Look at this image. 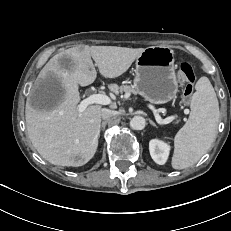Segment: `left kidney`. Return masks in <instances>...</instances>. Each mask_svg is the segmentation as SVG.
I'll return each instance as SVG.
<instances>
[{"label":"left kidney","mask_w":231,"mask_h":231,"mask_svg":"<svg viewBox=\"0 0 231 231\" xmlns=\"http://www.w3.org/2000/svg\"><path fill=\"white\" fill-rule=\"evenodd\" d=\"M170 146L160 140L152 139L149 142V151L152 159L159 165L166 163Z\"/></svg>","instance_id":"obj_1"}]
</instances>
